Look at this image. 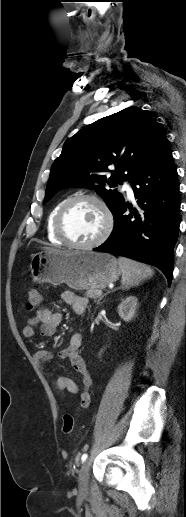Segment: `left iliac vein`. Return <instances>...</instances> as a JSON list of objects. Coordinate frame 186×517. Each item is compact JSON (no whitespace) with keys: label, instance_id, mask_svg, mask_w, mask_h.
<instances>
[{"label":"left iliac vein","instance_id":"left-iliac-vein-1","mask_svg":"<svg viewBox=\"0 0 186 517\" xmlns=\"http://www.w3.org/2000/svg\"><path fill=\"white\" fill-rule=\"evenodd\" d=\"M90 468V461L86 460L83 465L81 466V469L78 474V485H79V491L84 494L88 489V472Z\"/></svg>","mask_w":186,"mask_h":517}]
</instances>
